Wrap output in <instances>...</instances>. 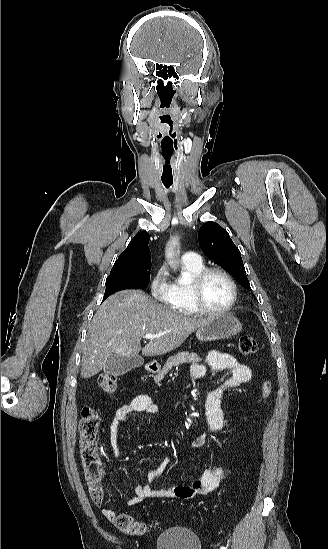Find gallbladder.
Returning <instances> with one entry per match:
<instances>
[{
    "instance_id": "1",
    "label": "gallbladder",
    "mask_w": 328,
    "mask_h": 549,
    "mask_svg": "<svg viewBox=\"0 0 328 549\" xmlns=\"http://www.w3.org/2000/svg\"><path fill=\"white\" fill-rule=\"evenodd\" d=\"M144 365V359L136 355V357H117L112 355L105 361L103 367L105 375H111V377H121L126 375L128 371L136 369V367H142Z\"/></svg>"
}]
</instances>
